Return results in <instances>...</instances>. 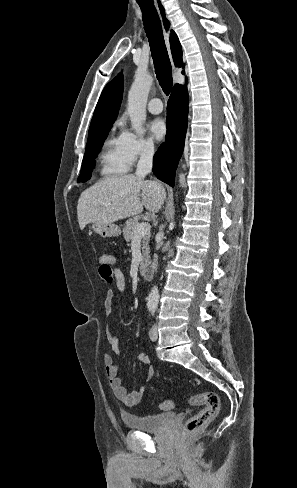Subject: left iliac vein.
<instances>
[{"mask_svg": "<svg viewBox=\"0 0 297 488\" xmlns=\"http://www.w3.org/2000/svg\"><path fill=\"white\" fill-rule=\"evenodd\" d=\"M149 337L152 341H156L158 338V327L154 324L150 330Z\"/></svg>", "mask_w": 297, "mask_h": 488, "instance_id": "4c4485c4", "label": "left iliac vein"}]
</instances>
